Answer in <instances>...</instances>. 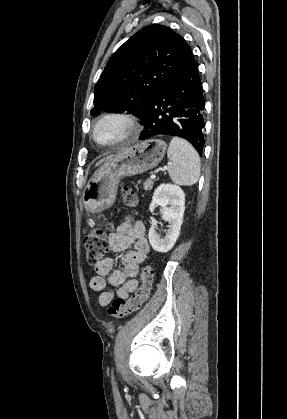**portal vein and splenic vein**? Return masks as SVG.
I'll return each instance as SVG.
<instances>
[{"mask_svg": "<svg viewBox=\"0 0 287 419\" xmlns=\"http://www.w3.org/2000/svg\"><path fill=\"white\" fill-rule=\"evenodd\" d=\"M156 178V175L155 174H152L151 176H150V179H155Z\"/></svg>", "mask_w": 287, "mask_h": 419, "instance_id": "portal-vein-and-splenic-vein-1", "label": "portal vein and splenic vein"}]
</instances>
